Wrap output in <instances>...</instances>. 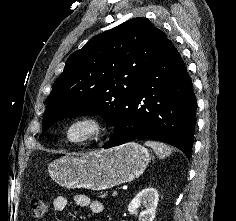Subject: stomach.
I'll return each instance as SVG.
<instances>
[{"instance_id":"obj_1","label":"stomach","mask_w":236,"mask_h":221,"mask_svg":"<svg viewBox=\"0 0 236 221\" xmlns=\"http://www.w3.org/2000/svg\"><path fill=\"white\" fill-rule=\"evenodd\" d=\"M150 159L144 146L129 142L81 157L63 156L50 163L48 170L62 187L105 190L138 178Z\"/></svg>"}]
</instances>
